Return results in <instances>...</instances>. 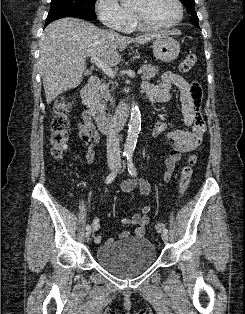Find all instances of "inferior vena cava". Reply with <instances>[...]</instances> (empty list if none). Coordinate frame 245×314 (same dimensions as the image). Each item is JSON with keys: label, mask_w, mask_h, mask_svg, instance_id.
Masks as SVG:
<instances>
[{"label": "inferior vena cava", "mask_w": 245, "mask_h": 314, "mask_svg": "<svg viewBox=\"0 0 245 314\" xmlns=\"http://www.w3.org/2000/svg\"><path fill=\"white\" fill-rule=\"evenodd\" d=\"M107 159L112 162L120 160L118 129L115 121H112L107 131Z\"/></svg>", "instance_id": "obj_1"}]
</instances>
